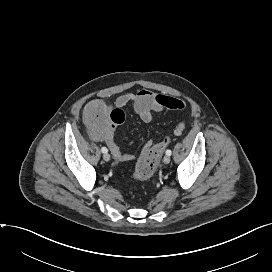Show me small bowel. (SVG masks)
Listing matches in <instances>:
<instances>
[{
	"instance_id": "1",
	"label": "small bowel",
	"mask_w": 272,
	"mask_h": 272,
	"mask_svg": "<svg viewBox=\"0 0 272 272\" xmlns=\"http://www.w3.org/2000/svg\"><path fill=\"white\" fill-rule=\"evenodd\" d=\"M131 104L137 113V115L144 121L150 122L154 118L156 113L164 110H182L186 107L184 101L179 98L157 94L150 90L141 89L137 93H125L120 95L116 101L115 106L123 108ZM185 129V122H179L174 128V134L180 136ZM93 138L98 141H104L110 149L114 158L118 161H130L133 159V155L123 153L115 139V130L108 129L104 134L95 136ZM151 142H146L142 145L143 152L147 151Z\"/></svg>"
}]
</instances>
